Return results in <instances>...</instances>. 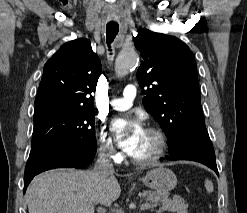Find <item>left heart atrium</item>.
Returning <instances> with one entry per match:
<instances>
[{"label": "left heart atrium", "instance_id": "left-heart-atrium-1", "mask_svg": "<svg viewBox=\"0 0 247 213\" xmlns=\"http://www.w3.org/2000/svg\"><path fill=\"white\" fill-rule=\"evenodd\" d=\"M126 127L129 128V135L120 142V145L128 154L133 155L146 131L138 120L116 119L112 123V129L117 132Z\"/></svg>", "mask_w": 247, "mask_h": 213}]
</instances>
